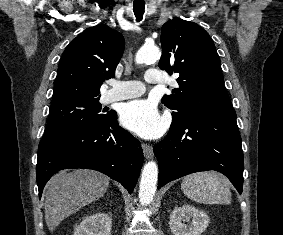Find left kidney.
I'll return each mask as SVG.
<instances>
[{"mask_svg":"<svg viewBox=\"0 0 283 235\" xmlns=\"http://www.w3.org/2000/svg\"><path fill=\"white\" fill-rule=\"evenodd\" d=\"M209 223L210 219L204 211L188 204L176 207L169 220L173 235H201Z\"/></svg>","mask_w":283,"mask_h":235,"instance_id":"left-kidney-1","label":"left kidney"}]
</instances>
